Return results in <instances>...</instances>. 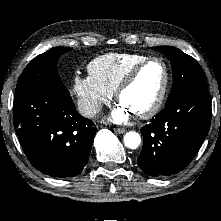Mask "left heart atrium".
<instances>
[{
  "instance_id": "39dd6f15",
  "label": "left heart atrium",
  "mask_w": 221,
  "mask_h": 221,
  "mask_svg": "<svg viewBox=\"0 0 221 221\" xmlns=\"http://www.w3.org/2000/svg\"><path fill=\"white\" fill-rule=\"evenodd\" d=\"M132 113L125 108L122 104H118L117 107L112 111L110 116V121L115 123H124L126 122Z\"/></svg>"
}]
</instances>
